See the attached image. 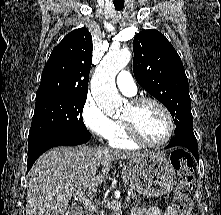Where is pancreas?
Instances as JSON below:
<instances>
[{
	"instance_id": "obj_1",
	"label": "pancreas",
	"mask_w": 221,
	"mask_h": 215,
	"mask_svg": "<svg viewBox=\"0 0 221 215\" xmlns=\"http://www.w3.org/2000/svg\"><path fill=\"white\" fill-rule=\"evenodd\" d=\"M130 198L133 200V203L136 206L141 204L142 199L135 192H132ZM94 213H98L97 210H91L88 215H94ZM101 215H104V214L101 213Z\"/></svg>"
}]
</instances>
